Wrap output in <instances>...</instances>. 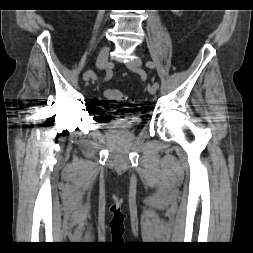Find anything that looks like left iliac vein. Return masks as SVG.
<instances>
[{"label":"left iliac vein","instance_id":"left-iliac-vein-1","mask_svg":"<svg viewBox=\"0 0 253 253\" xmlns=\"http://www.w3.org/2000/svg\"><path fill=\"white\" fill-rule=\"evenodd\" d=\"M142 62L139 59H133L132 61L127 63V68L133 71L141 72ZM148 92L154 95L157 91V88L153 84H148L147 86Z\"/></svg>","mask_w":253,"mask_h":253}]
</instances>
